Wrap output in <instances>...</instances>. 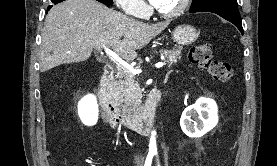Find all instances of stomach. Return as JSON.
Listing matches in <instances>:
<instances>
[{
  "mask_svg": "<svg viewBox=\"0 0 277 166\" xmlns=\"http://www.w3.org/2000/svg\"><path fill=\"white\" fill-rule=\"evenodd\" d=\"M198 36L197 29L186 24L177 26L172 33L173 41L179 45H190L197 40Z\"/></svg>",
  "mask_w": 277,
  "mask_h": 166,
  "instance_id": "obj_1",
  "label": "stomach"
}]
</instances>
